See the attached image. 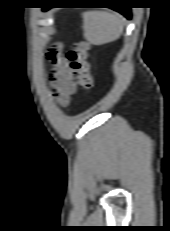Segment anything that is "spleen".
I'll return each instance as SVG.
<instances>
[{
  "instance_id": "obj_1",
  "label": "spleen",
  "mask_w": 170,
  "mask_h": 231,
  "mask_svg": "<svg viewBox=\"0 0 170 231\" xmlns=\"http://www.w3.org/2000/svg\"><path fill=\"white\" fill-rule=\"evenodd\" d=\"M85 39L92 45H103L116 40L124 28V19L118 14L90 11L83 16Z\"/></svg>"
}]
</instances>
